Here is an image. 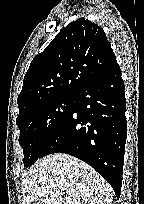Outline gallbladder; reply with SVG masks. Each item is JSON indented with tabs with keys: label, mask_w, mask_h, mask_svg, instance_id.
Listing matches in <instances>:
<instances>
[{
	"label": "gallbladder",
	"mask_w": 144,
	"mask_h": 204,
	"mask_svg": "<svg viewBox=\"0 0 144 204\" xmlns=\"http://www.w3.org/2000/svg\"><path fill=\"white\" fill-rule=\"evenodd\" d=\"M33 204H42L41 201L34 202Z\"/></svg>",
	"instance_id": "gallbladder-1"
}]
</instances>
